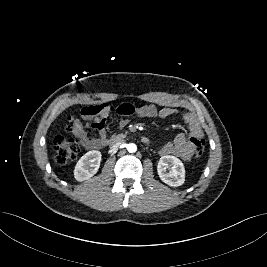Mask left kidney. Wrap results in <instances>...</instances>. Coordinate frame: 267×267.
Listing matches in <instances>:
<instances>
[{"label": "left kidney", "instance_id": "obj_1", "mask_svg": "<svg viewBox=\"0 0 267 267\" xmlns=\"http://www.w3.org/2000/svg\"><path fill=\"white\" fill-rule=\"evenodd\" d=\"M170 167V171L166 169ZM160 179L172 187L181 186L185 181V168L180 159L171 155H164L160 158L157 166Z\"/></svg>", "mask_w": 267, "mask_h": 267}]
</instances>
